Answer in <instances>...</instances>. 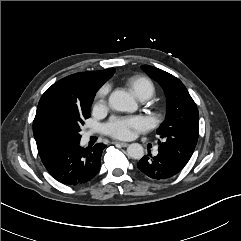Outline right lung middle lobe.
I'll return each instance as SVG.
<instances>
[{
	"mask_svg": "<svg viewBox=\"0 0 241 241\" xmlns=\"http://www.w3.org/2000/svg\"><path fill=\"white\" fill-rule=\"evenodd\" d=\"M92 101L83 108L54 105L45 110L36 125L39 154L56 146L80 140V126L90 116Z\"/></svg>",
	"mask_w": 241,
	"mask_h": 241,
	"instance_id": "1",
	"label": "right lung middle lobe"
}]
</instances>
